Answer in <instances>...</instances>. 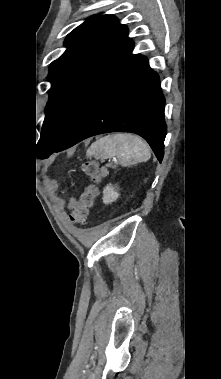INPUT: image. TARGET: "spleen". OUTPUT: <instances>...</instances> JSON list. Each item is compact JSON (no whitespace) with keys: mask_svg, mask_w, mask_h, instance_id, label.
I'll return each instance as SVG.
<instances>
[{"mask_svg":"<svg viewBox=\"0 0 221 379\" xmlns=\"http://www.w3.org/2000/svg\"><path fill=\"white\" fill-rule=\"evenodd\" d=\"M88 156L99 160L115 157L120 166L128 167L148 161L151 153L148 144L140 137L118 133L104 136L91 144Z\"/></svg>","mask_w":221,"mask_h":379,"instance_id":"1","label":"spleen"}]
</instances>
